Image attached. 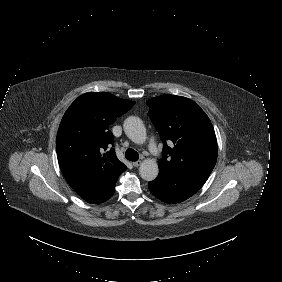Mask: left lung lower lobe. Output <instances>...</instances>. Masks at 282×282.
I'll list each match as a JSON object with an SVG mask.
<instances>
[{"instance_id":"0a47b994","label":"left lung lower lobe","mask_w":282,"mask_h":282,"mask_svg":"<svg viewBox=\"0 0 282 282\" xmlns=\"http://www.w3.org/2000/svg\"><path fill=\"white\" fill-rule=\"evenodd\" d=\"M210 173L196 171L169 172L159 170L158 177L149 182L151 193L166 203H179L194 195Z\"/></svg>"}]
</instances>
